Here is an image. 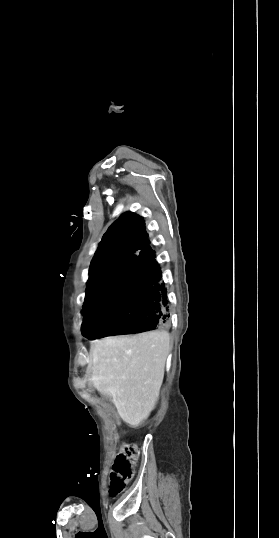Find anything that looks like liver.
Listing matches in <instances>:
<instances>
[{
    "label": "liver",
    "mask_w": 279,
    "mask_h": 538,
    "mask_svg": "<svg viewBox=\"0 0 279 538\" xmlns=\"http://www.w3.org/2000/svg\"><path fill=\"white\" fill-rule=\"evenodd\" d=\"M169 352L166 330L93 342L92 382L130 426H139L154 410Z\"/></svg>",
    "instance_id": "liver-1"
}]
</instances>
